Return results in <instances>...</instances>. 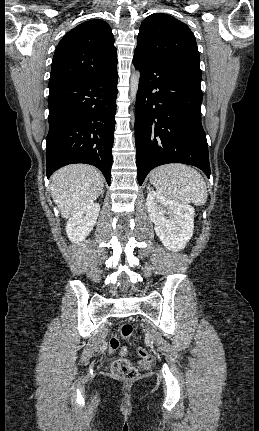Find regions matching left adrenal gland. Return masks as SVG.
Listing matches in <instances>:
<instances>
[{"instance_id": "obj_1", "label": "left adrenal gland", "mask_w": 259, "mask_h": 431, "mask_svg": "<svg viewBox=\"0 0 259 431\" xmlns=\"http://www.w3.org/2000/svg\"><path fill=\"white\" fill-rule=\"evenodd\" d=\"M151 188H150V185H148V187H147V190H150Z\"/></svg>"}]
</instances>
